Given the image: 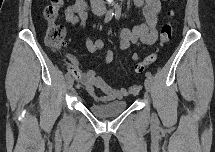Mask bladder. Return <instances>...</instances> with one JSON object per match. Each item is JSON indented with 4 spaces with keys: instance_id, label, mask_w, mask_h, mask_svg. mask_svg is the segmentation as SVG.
I'll list each match as a JSON object with an SVG mask.
<instances>
[{
    "instance_id": "bladder-1",
    "label": "bladder",
    "mask_w": 215,
    "mask_h": 152,
    "mask_svg": "<svg viewBox=\"0 0 215 152\" xmlns=\"http://www.w3.org/2000/svg\"><path fill=\"white\" fill-rule=\"evenodd\" d=\"M127 101H109L106 103H92L90 111L101 118L116 116L126 110Z\"/></svg>"
}]
</instances>
